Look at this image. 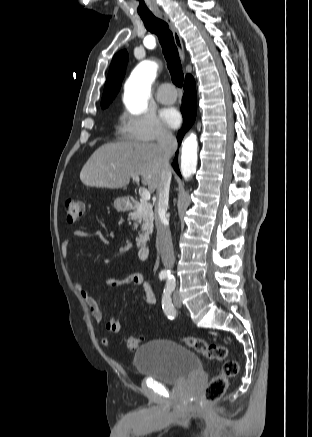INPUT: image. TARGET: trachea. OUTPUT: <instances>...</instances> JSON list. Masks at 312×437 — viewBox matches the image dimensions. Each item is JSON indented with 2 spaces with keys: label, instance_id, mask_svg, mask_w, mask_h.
<instances>
[{
  "label": "trachea",
  "instance_id": "trachea-1",
  "mask_svg": "<svg viewBox=\"0 0 312 437\" xmlns=\"http://www.w3.org/2000/svg\"><path fill=\"white\" fill-rule=\"evenodd\" d=\"M140 17L146 29L158 36L172 81L176 86L182 87L184 74L178 49L175 45L173 34L169 30L168 24L162 19L155 17L153 14L140 15Z\"/></svg>",
  "mask_w": 312,
  "mask_h": 437
}]
</instances>
